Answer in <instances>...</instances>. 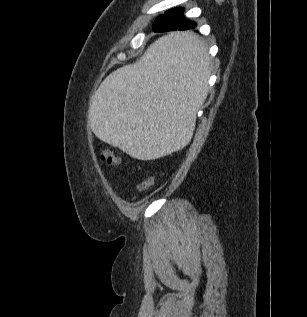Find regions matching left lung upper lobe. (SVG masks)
I'll return each mask as SVG.
<instances>
[{
  "instance_id": "1",
  "label": "left lung upper lobe",
  "mask_w": 307,
  "mask_h": 317,
  "mask_svg": "<svg viewBox=\"0 0 307 317\" xmlns=\"http://www.w3.org/2000/svg\"><path fill=\"white\" fill-rule=\"evenodd\" d=\"M165 20L170 22L172 27H177L178 25L188 24L190 21L183 15V8L176 7L167 11L164 15L160 16L157 21Z\"/></svg>"
}]
</instances>
